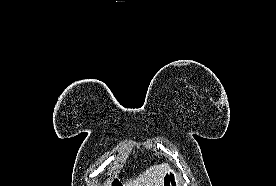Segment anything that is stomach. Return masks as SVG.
<instances>
[{"label": "stomach", "mask_w": 276, "mask_h": 186, "mask_svg": "<svg viewBox=\"0 0 276 186\" xmlns=\"http://www.w3.org/2000/svg\"><path fill=\"white\" fill-rule=\"evenodd\" d=\"M161 186H181V180L174 169L169 167L165 171Z\"/></svg>", "instance_id": "obj_1"}]
</instances>
